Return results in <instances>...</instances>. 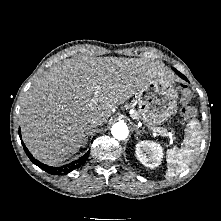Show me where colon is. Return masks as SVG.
<instances>
[{
  "mask_svg": "<svg viewBox=\"0 0 221 221\" xmlns=\"http://www.w3.org/2000/svg\"><path fill=\"white\" fill-rule=\"evenodd\" d=\"M190 98H191V93L189 92V90L184 89L182 91L181 99L183 101H188ZM181 114L184 118H191L195 115V109L191 107H183L181 110Z\"/></svg>",
  "mask_w": 221,
  "mask_h": 221,
  "instance_id": "5ec220e1",
  "label": "colon"
}]
</instances>
